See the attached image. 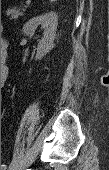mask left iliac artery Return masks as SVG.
Segmentation results:
<instances>
[{
  "label": "left iliac artery",
  "mask_w": 109,
  "mask_h": 170,
  "mask_svg": "<svg viewBox=\"0 0 109 170\" xmlns=\"http://www.w3.org/2000/svg\"><path fill=\"white\" fill-rule=\"evenodd\" d=\"M3 170H6V165H3Z\"/></svg>",
  "instance_id": "1"
}]
</instances>
